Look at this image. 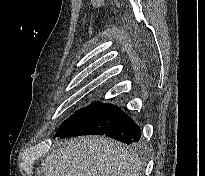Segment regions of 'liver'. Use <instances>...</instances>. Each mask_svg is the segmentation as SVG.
Returning a JSON list of instances; mask_svg holds the SVG:
<instances>
[{"label":"liver","instance_id":"obj_1","mask_svg":"<svg viewBox=\"0 0 205 176\" xmlns=\"http://www.w3.org/2000/svg\"><path fill=\"white\" fill-rule=\"evenodd\" d=\"M45 176H141L142 162L122 144L106 137L62 141L42 163Z\"/></svg>","mask_w":205,"mask_h":176}]
</instances>
